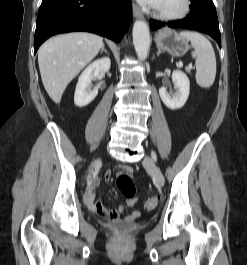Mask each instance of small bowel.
Instances as JSON below:
<instances>
[{
  "label": "small bowel",
  "mask_w": 247,
  "mask_h": 265,
  "mask_svg": "<svg viewBox=\"0 0 247 265\" xmlns=\"http://www.w3.org/2000/svg\"><path fill=\"white\" fill-rule=\"evenodd\" d=\"M120 169L123 172L126 173H130L132 172V168L129 166H125V167H120ZM111 178V172L110 171H106L104 174V179L106 181H108ZM98 185V181L95 180L87 189V191L84 194L83 197V201L85 206L87 207L88 210H90L91 212L97 214L98 216L104 218V219H108V220H116L120 217L121 213L123 212L125 206H121L118 209H114V210H110L107 209L102 202V196H98L96 197V193H95V188ZM136 203L135 199H129L127 201V206L128 207H133ZM139 216V212L138 211H133L129 218H136Z\"/></svg>",
  "instance_id": "obj_1"
}]
</instances>
